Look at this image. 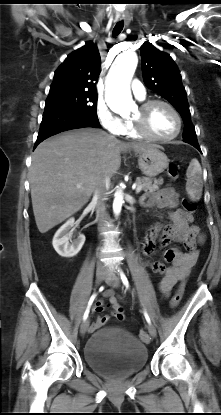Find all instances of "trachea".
<instances>
[{"mask_svg": "<svg viewBox=\"0 0 221 415\" xmlns=\"http://www.w3.org/2000/svg\"><path fill=\"white\" fill-rule=\"evenodd\" d=\"M123 26H124V22L123 21L118 22L115 25L114 29H113V36L119 35L120 32L123 30Z\"/></svg>", "mask_w": 221, "mask_h": 415, "instance_id": "obj_1", "label": "trachea"}]
</instances>
